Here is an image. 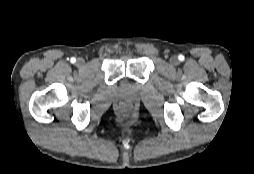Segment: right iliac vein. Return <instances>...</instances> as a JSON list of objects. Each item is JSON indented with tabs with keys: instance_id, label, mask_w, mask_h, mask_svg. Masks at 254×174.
I'll return each instance as SVG.
<instances>
[{
	"instance_id": "obj_1",
	"label": "right iliac vein",
	"mask_w": 254,
	"mask_h": 174,
	"mask_svg": "<svg viewBox=\"0 0 254 174\" xmlns=\"http://www.w3.org/2000/svg\"><path fill=\"white\" fill-rule=\"evenodd\" d=\"M76 63H77L78 66H83L85 64V61H84L83 58H78Z\"/></svg>"
}]
</instances>
